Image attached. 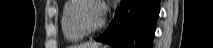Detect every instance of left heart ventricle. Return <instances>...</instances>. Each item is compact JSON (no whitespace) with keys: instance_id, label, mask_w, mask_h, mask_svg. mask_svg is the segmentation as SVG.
<instances>
[{"instance_id":"b2bd125f","label":"left heart ventricle","mask_w":213,"mask_h":48,"mask_svg":"<svg viewBox=\"0 0 213 48\" xmlns=\"http://www.w3.org/2000/svg\"><path fill=\"white\" fill-rule=\"evenodd\" d=\"M79 15L83 23L90 28L97 26L101 20V9L95 3H86L80 10Z\"/></svg>"}]
</instances>
